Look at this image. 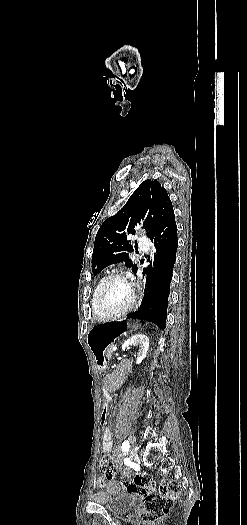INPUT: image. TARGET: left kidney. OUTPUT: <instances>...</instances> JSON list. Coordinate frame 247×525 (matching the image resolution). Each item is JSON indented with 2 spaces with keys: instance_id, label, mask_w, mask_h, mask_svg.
Instances as JSON below:
<instances>
[{
  "instance_id": "1",
  "label": "left kidney",
  "mask_w": 247,
  "mask_h": 525,
  "mask_svg": "<svg viewBox=\"0 0 247 525\" xmlns=\"http://www.w3.org/2000/svg\"><path fill=\"white\" fill-rule=\"evenodd\" d=\"M138 347L139 345V351L137 353V365L139 363H142L143 359H145L147 355V351L149 349V339L146 337V335H134V337H130V339H127L125 343L122 345L123 351H126V349H129V347Z\"/></svg>"
}]
</instances>
